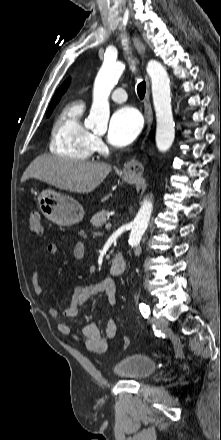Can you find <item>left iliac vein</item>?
Here are the masks:
<instances>
[{
    "mask_svg": "<svg viewBox=\"0 0 221 440\" xmlns=\"http://www.w3.org/2000/svg\"><path fill=\"white\" fill-rule=\"evenodd\" d=\"M151 321L160 329H164L167 326V321L164 317L152 318Z\"/></svg>",
    "mask_w": 221,
    "mask_h": 440,
    "instance_id": "4c4485c4",
    "label": "left iliac vein"
}]
</instances>
